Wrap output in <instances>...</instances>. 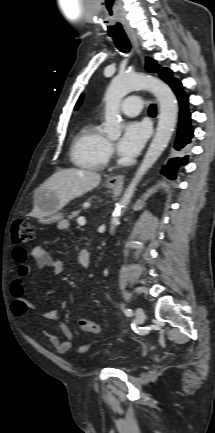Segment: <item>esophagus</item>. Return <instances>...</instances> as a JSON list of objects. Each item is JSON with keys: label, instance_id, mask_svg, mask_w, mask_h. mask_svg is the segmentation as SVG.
I'll return each instance as SVG.
<instances>
[{"label": "esophagus", "instance_id": "1", "mask_svg": "<svg viewBox=\"0 0 215 433\" xmlns=\"http://www.w3.org/2000/svg\"><path fill=\"white\" fill-rule=\"evenodd\" d=\"M129 38H130L131 42L133 43L137 53L141 56V51L139 50V42H138L136 34L130 33ZM124 178H125V176L123 174L111 176L107 179V184H109L111 186L122 185L124 182Z\"/></svg>", "mask_w": 215, "mask_h": 433}]
</instances>
